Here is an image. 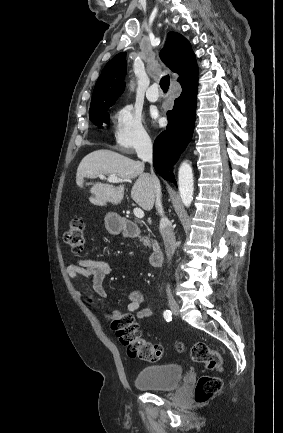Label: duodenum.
I'll return each mask as SVG.
<instances>
[{"mask_svg":"<svg viewBox=\"0 0 283 433\" xmlns=\"http://www.w3.org/2000/svg\"><path fill=\"white\" fill-rule=\"evenodd\" d=\"M122 229L126 236L128 237H140L141 229L140 227L130 220H124L122 223ZM164 253L161 248H155L150 255V264L154 267H159L163 263Z\"/></svg>","mask_w":283,"mask_h":433,"instance_id":"1","label":"duodenum"}]
</instances>
